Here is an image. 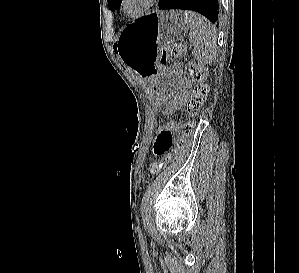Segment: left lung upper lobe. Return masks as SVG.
<instances>
[{
	"label": "left lung upper lobe",
	"mask_w": 299,
	"mask_h": 273,
	"mask_svg": "<svg viewBox=\"0 0 299 273\" xmlns=\"http://www.w3.org/2000/svg\"><path fill=\"white\" fill-rule=\"evenodd\" d=\"M107 2H108V7L111 10H115L120 7L122 0H107Z\"/></svg>",
	"instance_id": "left-lung-upper-lobe-1"
}]
</instances>
